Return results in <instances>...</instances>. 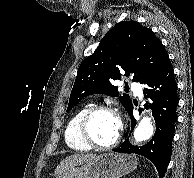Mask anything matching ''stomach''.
<instances>
[{
  "instance_id": "1",
  "label": "stomach",
  "mask_w": 194,
  "mask_h": 178,
  "mask_svg": "<svg viewBox=\"0 0 194 178\" xmlns=\"http://www.w3.org/2000/svg\"><path fill=\"white\" fill-rule=\"evenodd\" d=\"M137 163L134 155L104 153L56 178H120L132 172Z\"/></svg>"
}]
</instances>
